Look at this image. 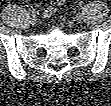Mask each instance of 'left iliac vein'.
Wrapping results in <instances>:
<instances>
[{"mask_svg": "<svg viewBox=\"0 0 111 106\" xmlns=\"http://www.w3.org/2000/svg\"><path fill=\"white\" fill-rule=\"evenodd\" d=\"M75 21L80 22L83 19V15L81 13H78L74 17Z\"/></svg>", "mask_w": 111, "mask_h": 106, "instance_id": "left-iliac-vein-1", "label": "left iliac vein"}]
</instances>
